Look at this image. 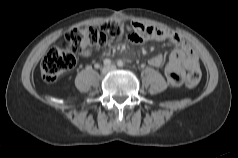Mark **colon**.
Instances as JSON below:
<instances>
[{
	"instance_id": "1",
	"label": "colon",
	"mask_w": 238,
	"mask_h": 158,
	"mask_svg": "<svg viewBox=\"0 0 238 158\" xmlns=\"http://www.w3.org/2000/svg\"><path fill=\"white\" fill-rule=\"evenodd\" d=\"M134 33V23H127L121 20L107 21L98 28L86 27L72 29L43 58L40 65L42 78L46 82H54L63 73L75 66L76 59L74 54L87 57L91 55L94 49L104 46L109 37L130 38ZM200 80V69H193L187 74L185 84L188 88H194Z\"/></svg>"
}]
</instances>
